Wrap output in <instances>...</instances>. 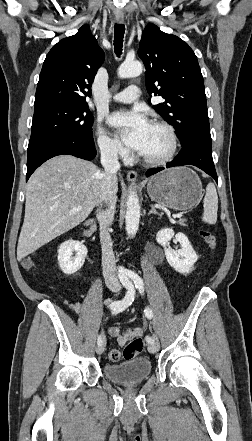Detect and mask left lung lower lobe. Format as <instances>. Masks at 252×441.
<instances>
[{
  "mask_svg": "<svg viewBox=\"0 0 252 441\" xmlns=\"http://www.w3.org/2000/svg\"><path fill=\"white\" fill-rule=\"evenodd\" d=\"M182 165H194L204 172L212 176L218 181L212 158L211 137L205 135H197L182 145L179 154L165 167L153 168L147 171L146 175H153L165 168H171Z\"/></svg>",
  "mask_w": 252,
  "mask_h": 441,
  "instance_id": "1",
  "label": "left lung lower lobe"
}]
</instances>
